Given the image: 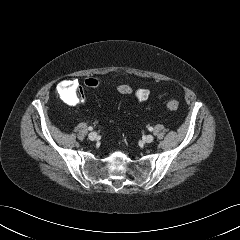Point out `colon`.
<instances>
[{"instance_id":"1","label":"colon","mask_w":240,"mask_h":240,"mask_svg":"<svg viewBox=\"0 0 240 240\" xmlns=\"http://www.w3.org/2000/svg\"><path fill=\"white\" fill-rule=\"evenodd\" d=\"M85 85L89 88H97L101 84V80L96 77L86 78ZM121 94H130L132 89L127 84H120L116 87ZM61 90L66 93L68 91H75L76 85L73 80H66L61 85ZM82 94V93H81ZM150 97V92L147 89H139L136 91V98L139 101H146ZM166 108L169 111H175L179 108V101L176 98H169L166 102Z\"/></svg>"}]
</instances>
